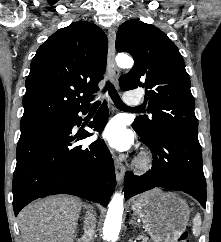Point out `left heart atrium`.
Listing matches in <instances>:
<instances>
[{"instance_id": "left-heart-atrium-1", "label": "left heart atrium", "mask_w": 221, "mask_h": 242, "mask_svg": "<svg viewBox=\"0 0 221 242\" xmlns=\"http://www.w3.org/2000/svg\"><path fill=\"white\" fill-rule=\"evenodd\" d=\"M102 139L111 147L119 150H128L133 144V135L124 123L116 118L111 120L101 132Z\"/></svg>"}]
</instances>
